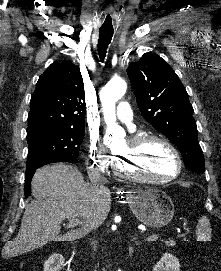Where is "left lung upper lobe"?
<instances>
[{
    "mask_svg": "<svg viewBox=\"0 0 221 271\" xmlns=\"http://www.w3.org/2000/svg\"><path fill=\"white\" fill-rule=\"evenodd\" d=\"M127 74L144 119L179 148L187 168L205 172L193 107L175 71L148 52L129 65Z\"/></svg>",
    "mask_w": 221,
    "mask_h": 271,
    "instance_id": "1",
    "label": "left lung upper lobe"
}]
</instances>
